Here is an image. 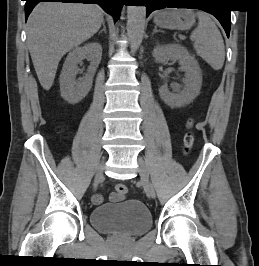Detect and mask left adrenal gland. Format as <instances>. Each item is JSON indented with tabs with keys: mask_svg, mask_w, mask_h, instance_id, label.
Masks as SVG:
<instances>
[{
	"mask_svg": "<svg viewBox=\"0 0 259 266\" xmlns=\"http://www.w3.org/2000/svg\"><path fill=\"white\" fill-rule=\"evenodd\" d=\"M157 32H161V31L158 30L157 27H154L153 34H155V33H157Z\"/></svg>",
	"mask_w": 259,
	"mask_h": 266,
	"instance_id": "obj_1",
	"label": "left adrenal gland"
}]
</instances>
